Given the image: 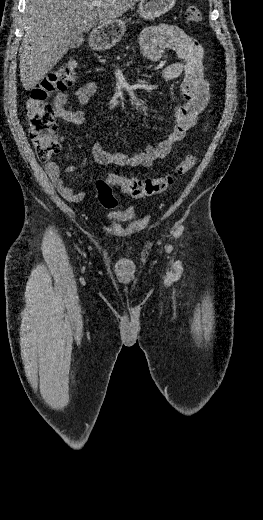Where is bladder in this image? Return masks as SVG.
<instances>
[{"label": "bladder", "instance_id": "1", "mask_svg": "<svg viewBox=\"0 0 263 520\" xmlns=\"http://www.w3.org/2000/svg\"><path fill=\"white\" fill-rule=\"evenodd\" d=\"M133 218L132 215H114L109 217V220L112 222H124L129 221Z\"/></svg>", "mask_w": 263, "mask_h": 520}]
</instances>
